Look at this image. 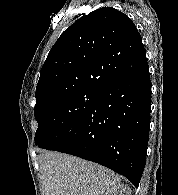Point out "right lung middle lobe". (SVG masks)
I'll return each instance as SVG.
<instances>
[{
	"label": "right lung middle lobe",
	"mask_w": 178,
	"mask_h": 195,
	"mask_svg": "<svg viewBox=\"0 0 178 195\" xmlns=\"http://www.w3.org/2000/svg\"><path fill=\"white\" fill-rule=\"evenodd\" d=\"M97 90H77L46 99L34 108L38 122L35 144L53 150L93 106Z\"/></svg>",
	"instance_id": "1"
}]
</instances>
